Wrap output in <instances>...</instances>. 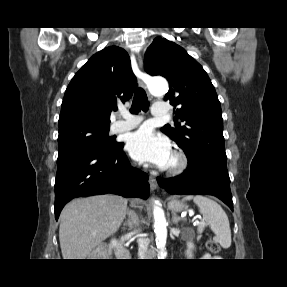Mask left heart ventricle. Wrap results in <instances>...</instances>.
<instances>
[{
	"instance_id": "1",
	"label": "left heart ventricle",
	"mask_w": 287,
	"mask_h": 287,
	"mask_svg": "<svg viewBox=\"0 0 287 287\" xmlns=\"http://www.w3.org/2000/svg\"><path fill=\"white\" fill-rule=\"evenodd\" d=\"M171 160H172V159H170V161H169V163H168V164H170V163H171Z\"/></svg>"
}]
</instances>
